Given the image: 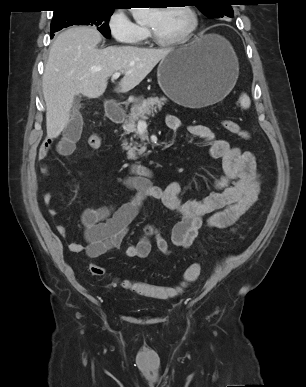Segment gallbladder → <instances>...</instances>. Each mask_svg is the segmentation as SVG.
I'll return each instance as SVG.
<instances>
[{"instance_id": "obj_1", "label": "gallbladder", "mask_w": 306, "mask_h": 387, "mask_svg": "<svg viewBox=\"0 0 306 387\" xmlns=\"http://www.w3.org/2000/svg\"><path fill=\"white\" fill-rule=\"evenodd\" d=\"M80 99H81V96H75V98H74V103H73V105H74V107L75 108H78L79 107V103H80Z\"/></svg>"}]
</instances>
